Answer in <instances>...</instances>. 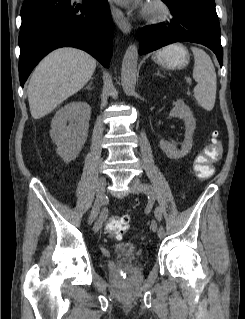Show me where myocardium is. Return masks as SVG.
I'll return each mask as SVG.
<instances>
[{
    "mask_svg": "<svg viewBox=\"0 0 245 319\" xmlns=\"http://www.w3.org/2000/svg\"><path fill=\"white\" fill-rule=\"evenodd\" d=\"M171 16L169 6L163 0H151L143 11V18L150 24H160Z\"/></svg>",
    "mask_w": 245,
    "mask_h": 319,
    "instance_id": "f54148a6",
    "label": "myocardium"
}]
</instances>
